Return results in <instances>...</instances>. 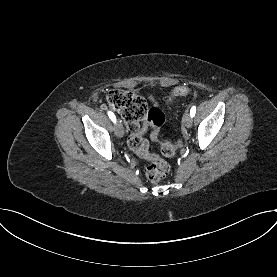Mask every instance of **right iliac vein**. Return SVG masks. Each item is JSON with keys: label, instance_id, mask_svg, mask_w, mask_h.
Returning <instances> with one entry per match:
<instances>
[{"label": "right iliac vein", "instance_id": "63e3f726", "mask_svg": "<svg viewBox=\"0 0 277 277\" xmlns=\"http://www.w3.org/2000/svg\"><path fill=\"white\" fill-rule=\"evenodd\" d=\"M114 131H115V135L119 138L123 137L124 135V129L123 126L121 124V121H117V123L115 124L114 127Z\"/></svg>", "mask_w": 277, "mask_h": 277}]
</instances>
